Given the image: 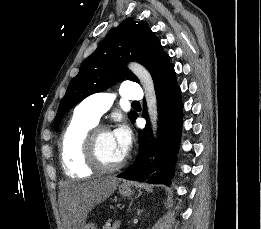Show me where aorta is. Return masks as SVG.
<instances>
[{
  "instance_id": "aorta-1",
  "label": "aorta",
  "mask_w": 261,
  "mask_h": 229,
  "mask_svg": "<svg viewBox=\"0 0 261 229\" xmlns=\"http://www.w3.org/2000/svg\"><path fill=\"white\" fill-rule=\"evenodd\" d=\"M128 68H130V70H132V72L138 76L145 90L148 115L150 117L153 135L154 137H157L158 110L153 78L149 70H147L145 66H142V64H138V62H129Z\"/></svg>"
}]
</instances>
